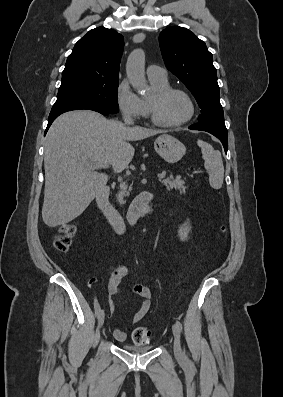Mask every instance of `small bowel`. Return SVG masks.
<instances>
[{"label":"small bowel","mask_w":283,"mask_h":397,"mask_svg":"<svg viewBox=\"0 0 283 397\" xmlns=\"http://www.w3.org/2000/svg\"><path fill=\"white\" fill-rule=\"evenodd\" d=\"M127 274H128V267L126 265H120L113 271L107 286V290L109 294H115L120 291L121 281ZM94 281L95 279H93V282ZM130 290L132 293L138 295L142 299L136 312L133 314L131 318L130 323L133 325L141 321L149 312L151 308L152 290L148 286L142 284H133L130 286ZM114 309H115L114 304L109 299L108 300L109 316H111L114 313ZM113 336L117 341L123 342L127 338V331L121 329H115L113 331Z\"/></svg>","instance_id":"1"}]
</instances>
